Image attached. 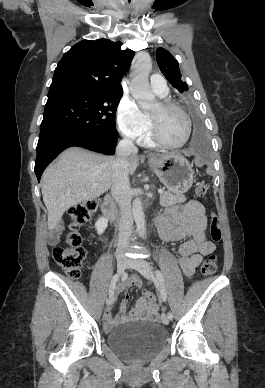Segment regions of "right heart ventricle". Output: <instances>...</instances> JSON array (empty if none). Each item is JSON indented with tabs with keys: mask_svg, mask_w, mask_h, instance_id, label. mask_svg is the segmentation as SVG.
I'll list each match as a JSON object with an SVG mask.
<instances>
[{
	"mask_svg": "<svg viewBox=\"0 0 265 388\" xmlns=\"http://www.w3.org/2000/svg\"><path fill=\"white\" fill-rule=\"evenodd\" d=\"M156 98H167V90L166 91H156ZM142 143L144 145H147V146H153L155 144L154 140H153V137H152V135L150 133L147 134L143 138Z\"/></svg>",
	"mask_w": 265,
	"mask_h": 388,
	"instance_id": "1",
	"label": "right heart ventricle"
}]
</instances>
